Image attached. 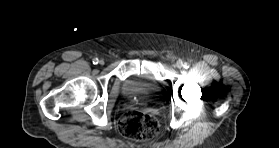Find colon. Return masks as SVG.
I'll use <instances>...</instances> for the list:
<instances>
[{"label":"colon","mask_w":279,"mask_h":148,"mask_svg":"<svg viewBox=\"0 0 279 148\" xmlns=\"http://www.w3.org/2000/svg\"><path fill=\"white\" fill-rule=\"evenodd\" d=\"M118 128L125 137L140 142L146 141L157 134L159 122L149 113L129 110L120 118Z\"/></svg>","instance_id":"5ec220e1"}]
</instances>
